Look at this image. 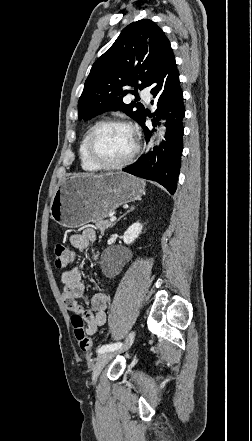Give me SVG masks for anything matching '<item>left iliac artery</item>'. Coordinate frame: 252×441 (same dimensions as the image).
Listing matches in <instances>:
<instances>
[{"instance_id": "left-iliac-artery-1", "label": "left iliac artery", "mask_w": 252, "mask_h": 441, "mask_svg": "<svg viewBox=\"0 0 252 441\" xmlns=\"http://www.w3.org/2000/svg\"><path fill=\"white\" fill-rule=\"evenodd\" d=\"M121 346H122L121 342L106 344V345L101 346L97 350V353L102 354V353L107 352V351H114V350L120 349Z\"/></svg>"}]
</instances>
